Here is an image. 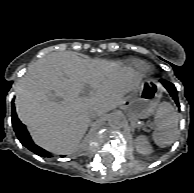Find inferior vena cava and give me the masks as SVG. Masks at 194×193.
<instances>
[{"mask_svg": "<svg viewBox=\"0 0 194 193\" xmlns=\"http://www.w3.org/2000/svg\"><path fill=\"white\" fill-rule=\"evenodd\" d=\"M98 116H99V112H93V113L90 114V117H91L92 119H95V118H97Z\"/></svg>", "mask_w": 194, "mask_h": 193, "instance_id": "inferior-vena-cava-1", "label": "inferior vena cava"}]
</instances>
